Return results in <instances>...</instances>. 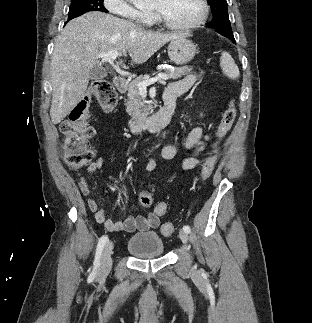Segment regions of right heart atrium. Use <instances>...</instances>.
<instances>
[{"instance_id": "1", "label": "right heart atrium", "mask_w": 312, "mask_h": 323, "mask_svg": "<svg viewBox=\"0 0 312 323\" xmlns=\"http://www.w3.org/2000/svg\"><path fill=\"white\" fill-rule=\"evenodd\" d=\"M109 6H105V13H122L125 22H143L145 11L141 6H135V2L128 0H108Z\"/></svg>"}]
</instances>
